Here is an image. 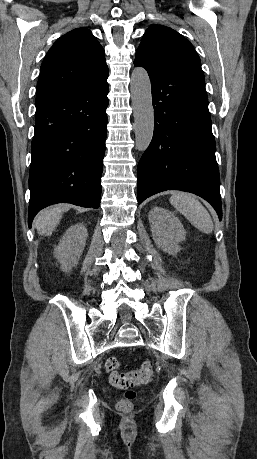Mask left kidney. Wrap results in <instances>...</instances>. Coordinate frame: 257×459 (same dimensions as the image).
<instances>
[{
	"label": "left kidney",
	"instance_id": "obj_1",
	"mask_svg": "<svg viewBox=\"0 0 257 459\" xmlns=\"http://www.w3.org/2000/svg\"><path fill=\"white\" fill-rule=\"evenodd\" d=\"M152 237L157 247L169 254H177L179 243L186 239L180 220L169 210L154 207L149 211Z\"/></svg>",
	"mask_w": 257,
	"mask_h": 459
}]
</instances>
